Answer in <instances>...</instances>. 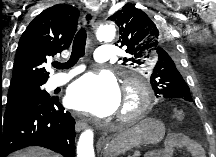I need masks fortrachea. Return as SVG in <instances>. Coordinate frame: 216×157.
I'll return each mask as SVG.
<instances>
[{"label": "trachea", "instance_id": "obj_1", "mask_svg": "<svg viewBox=\"0 0 216 157\" xmlns=\"http://www.w3.org/2000/svg\"><path fill=\"white\" fill-rule=\"evenodd\" d=\"M87 33L85 28H81L73 41L72 52L70 59L67 63L54 62L53 67L57 69H64L72 67L77 63V61L84 56L85 54V46H86Z\"/></svg>", "mask_w": 216, "mask_h": 157}]
</instances>
